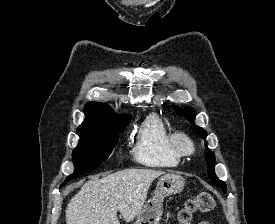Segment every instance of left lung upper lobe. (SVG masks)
<instances>
[{"label":"left lung upper lobe","mask_w":275,"mask_h":224,"mask_svg":"<svg viewBox=\"0 0 275 224\" xmlns=\"http://www.w3.org/2000/svg\"><path fill=\"white\" fill-rule=\"evenodd\" d=\"M174 109L177 113L185 116V118L191 123L194 124V118H195V111L193 109H181L177 106H174ZM200 130L203 131V134L205 136H207L206 131H204L202 128H199ZM206 149L209 150L206 146ZM206 161H207V166H208V176L211 179V181L213 182V184H215L216 186H218L219 188H221L225 193H226V184L221 181L215 174L214 171V163H215V155L214 153H212L211 151L206 153V157H205Z\"/></svg>","instance_id":"left-lung-upper-lobe-1"}]
</instances>
